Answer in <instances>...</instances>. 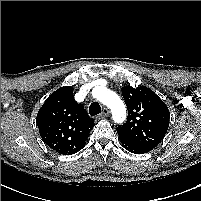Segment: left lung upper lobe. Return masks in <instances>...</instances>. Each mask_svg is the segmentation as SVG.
I'll return each mask as SVG.
<instances>
[{
	"mask_svg": "<svg viewBox=\"0 0 201 201\" xmlns=\"http://www.w3.org/2000/svg\"><path fill=\"white\" fill-rule=\"evenodd\" d=\"M128 118L117 127L119 138L128 144L151 151L164 138L170 113L165 103L149 88L122 87Z\"/></svg>",
	"mask_w": 201,
	"mask_h": 201,
	"instance_id": "5c2ea615",
	"label": "left lung upper lobe"
}]
</instances>
